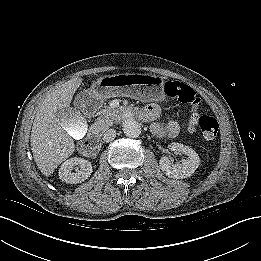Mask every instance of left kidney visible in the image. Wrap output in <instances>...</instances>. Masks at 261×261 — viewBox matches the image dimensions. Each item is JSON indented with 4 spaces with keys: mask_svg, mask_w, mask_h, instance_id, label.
Segmentation results:
<instances>
[{
    "mask_svg": "<svg viewBox=\"0 0 261 261\" xmlns=\"http://www.w3.org/2000/svg\"><path fill=\"white\" fill-rule=\"evenodd\" d=\"M172 151L181 152L187 156V159L179 163H173L166 156L159 161L161 170L168 176L174 179H183L190 177L200 164L198 154L190 147L181 143H172L169 145Z\"/></svg>",
    "mask_w": 261,
    "mask_h": 261,
    "instance_id": "5707ae66",
    "label": "left kidney"
}]
</instances>
